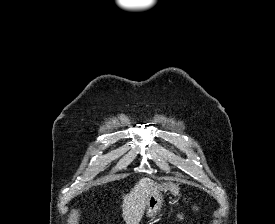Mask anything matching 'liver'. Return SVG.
<instances>
[{
	"mask_svg": "<svg viewBox=\"0 0 275 224\" xmlns=\"http://www.w3.org/2000/svg\"><path fill=\"white\" fill-rule=\"evenodd\" d=\"M154 182L142 178L130 193L123 196L122 212L126 224H139L147 207Z\"/></svg>",
	"mask_w": 275,
	"mask_h": 224,
	"instance_id": "1",
	"label": "liver"
}]
</instances>
